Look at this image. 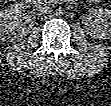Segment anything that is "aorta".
Segmentation results:
<instances>
[{
  "label": "aorta",
  "mask_w": 111,
  "mask_h": 106,
  "mask_svg": "<svg viewBox=\"0 0 111 106\" xmlns=\"http://www.w3.org/2000/svg\"><path fill=\"white\" fill-rule=\"evenodd\" d=\"M55 13L59 16L63 15L64 14V10L63 8L59 7L55 10Z\"/></svg>",
  "instance_id": "1"
}]
</instances>
